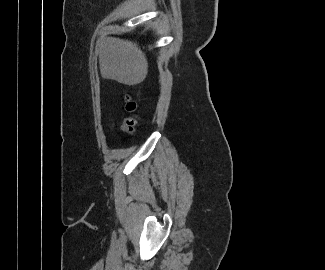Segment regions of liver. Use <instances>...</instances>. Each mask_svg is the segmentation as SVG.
Instances as JSON below:
<instances>
[{
	"mask_svg": "<svg viewBox=\"0 0 325 270\" xmlns=\"http://www.w3.org/2000/svg\"><path fill=\"white\" fill-rule=\"evenodd\" d=\"M96 51L99 54L102 78L129 86L140 84L145 80L148 62L136 43L108 37L97 42Z\"/></svg>",
	"mask_w": 325,
	"mask_h": 270,
	"instance_id": "liver-1",
	"label": "liver"
}]
</instances>
